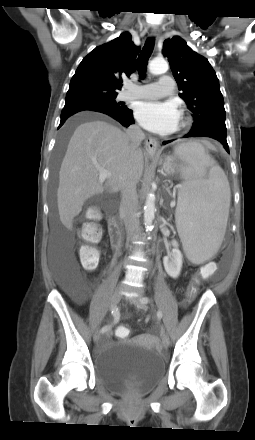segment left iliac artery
Segmentation results:
<instances>
[{
	"label": "left iliac artery",
	"instance_id": "left-iliac-artery-1",
	"mask_svg": "<svg viewBox=\"0 0 255 440\" xmlns=\"http://www.w3.org/2000/svg\"><path fill=\"white\" fill-rule=\"evenodd\" d=\"M141 301L143 303L147 304L149 302V298L148 297H143ZM162 316H163L162 312L158 311L157 312V317H158L159 320H161Z\"/></svg>",
	"mask_w": 255,
	"mask_h": 440
}]
</instances>
